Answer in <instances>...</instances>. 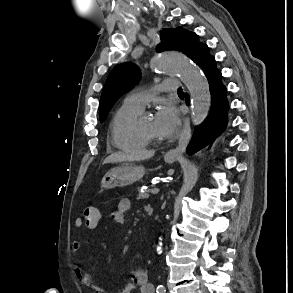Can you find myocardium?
Here are the masks:
<instances>
[{"mask_svg":"<svg viewBox=\"0 0 293 293\" xmlns=\"http://www.w3.org/2000/svg\"><path fill=\"white\" fill-rule=\"evenodd\" d=\"M137 131L139 135L148 143V145H159L161 144L160 140L153 139L152 137L148 136L141 128L140 122L137 124Z\"/></svg>","mask_w":293,"mask_h":293,"instance_id":"obj_1","label":"myocardium"}]
</instances>
